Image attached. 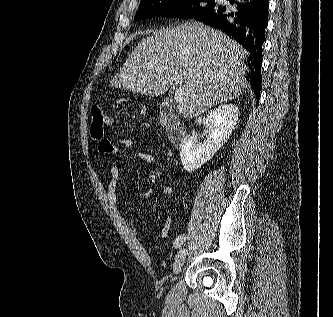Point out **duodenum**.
I'll return each instance as SVG.
<instances>
[{"mask_svg": "<svg viewBox=\"0 0 333 317\" xmlns=\"http://www.w3.org/2000/svg\"><path fill=\"white\" fill-rule=\"evenodd\" d=\"M159 117L171 144L174 147H180L185 141L186 129L174 115L172 105L162 104L159 109Z\"/></svg>", "mask_w": 333, "mask_h": 317, "instance_id": "obj_1", "label": "duodenum"}]
</instances>
